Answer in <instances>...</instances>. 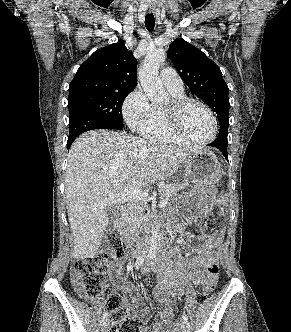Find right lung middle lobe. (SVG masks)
Listing matches in <instances>:
<instances>
[{
	"mask_svg": "<svg viewBox=\"0 0 291 332\" xmlns=\"http://www.w3.org/2000/svg\"><path fill=\"white\" fill-rule=\"evenodd\" d=\"M130 90L105 91L83 94L68 99L69 116L76 109H86L103 118L110 129H122V104Z\"/></svg>",
	"mask_w": 291,
	"mask_h": 332,
	"instance_id": "dd1d6c3e",
	"label": "right lung middle lobe"
}]
</instances>
